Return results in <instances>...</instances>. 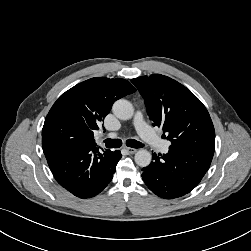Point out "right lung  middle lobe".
<instances>
[{
	"instance_id": "right-lung-middle-lobe-1",
	"label": "right lung middle lobe",
	"mask_w": 251,
	"mask_h": 251,
	"mask_svg": "<svg viewBox=\"0 0 251 251\" xmlns=\"http://www.w3.org/2000/svg\"><path fill=\"white\" fill-rule=\"evenodd\" d=\"M85 139L79 127L64 117L45 120L42 130V146L82 147Z\"/></svg>"
}]
</instances>
